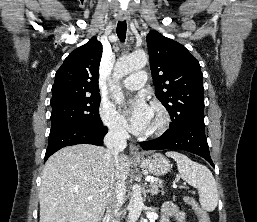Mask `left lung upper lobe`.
<instances>
[{"mask_svg":"<svg viewBox=\"0 0 257 222\" xmlns=\"http://www.w3.org/2000/svg\"><path fill=\"white\" fill-rule=\"evenodd\" d=\"M147 44L155 95L172 119L170 127L204 123L203 75L199 62L182 44L157 31L149 32Z\"/></svg>","mask_w":257,"mask_h":222,"instance_id":"5c2ea615","label":"left lung upper lobe"}]
</instances>
